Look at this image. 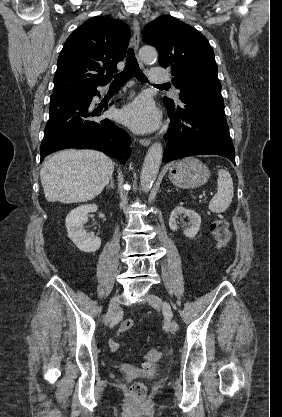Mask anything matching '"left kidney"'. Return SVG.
<instances>
[{
  "instance_id": "1",
  "label": "left kidney",
  "mask_w": 282,
  "mask_h": 417,
  "mask_svg": "<svg viewBox=\"0 0 282 417\" xmlns=\"http://www.w3.org/2000/svg\"><path fill=\"white\" fill-rule=\"evenodd\" d=\"M179 215L188 217L189 223H191L189 229H185V231H183L185 237H189V239L196 237L201 225L200 215H198L196 211H191V209H184V206H175V209H173L169 219V227L172 231H177L178 229L176 219H178Z\"/></svg>"
}]
</instances>
